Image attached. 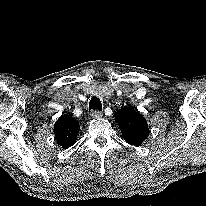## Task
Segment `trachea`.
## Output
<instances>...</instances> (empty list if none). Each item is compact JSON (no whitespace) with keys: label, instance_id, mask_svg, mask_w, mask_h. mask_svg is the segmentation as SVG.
Masks as SVG:
<instances>
[{"label":"trachea","instance_id":"trachea-1","mask_svg":"<svg viewBox=\"0 0 206 206\" xmlns=\"http://www.w3.org/2000/svg\"><path fill=\"white\" fill-rule=\"evenodd\" d=\"M89 110H98V111L102 110V104H101V101H100V99L98 97L93 96L90 99Z\"/></svg>","mask_w":206,"mask_h":206}]
</instances>
